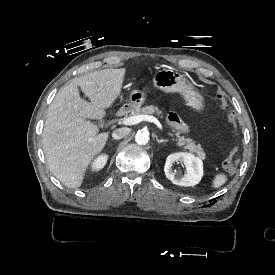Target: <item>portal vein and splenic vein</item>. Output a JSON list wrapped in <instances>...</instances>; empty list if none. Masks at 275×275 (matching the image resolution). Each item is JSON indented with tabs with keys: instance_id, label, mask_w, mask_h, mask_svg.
I'll list each match as a JSON object with an SVG mask.
<instances>
[{
	"instance_id": "18ae733b",
	"label": "portal vein and splenic vein",
	"mask_w": 275,
	"mask_h": 275,
	"mask_svg": "<svg viewBox=\"0 0 275 275\" xmlns=\"http://www.w3.org/2000/svg\"><path fill=\"white\" fill-rule=\"evenodd\" d=\"M142 120L155 123L157 125V127L162 132L164 131L163 125L159 122V120L156 117L151 116V115H138V116H132V117L124 118V119H122V120H120L118 122V125H121V126H131V125L138 124Z\"/></svg>"
}]
</instances>
